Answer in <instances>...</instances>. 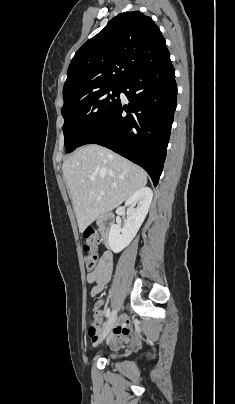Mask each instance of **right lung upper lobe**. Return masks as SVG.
Returning <instances> with one entry per match:
<instances>
[{"instance_id":"cb5924a9","label":"right lung upper lobe","mask_w":235,"mask_h":404,"mask_svg":"<svg viewBox=\"0 0 235 404\" xmlns=\"http://www.w3.org/2000/svg\"><path fill=\"white\" fill-rule=\"evenodd\" d=\"M169 56L153 20L139 11L120 13L76 52L63 88L64 103L122 85L130 76Z\"/></svg>"}]
</instances>
